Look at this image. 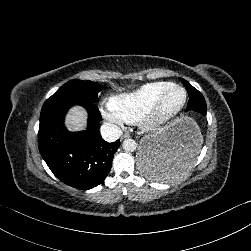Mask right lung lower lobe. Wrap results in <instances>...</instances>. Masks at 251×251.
Returning a JSON list of instances; mask_svg holds the SVG:
<instances>
[{
    "label": "right lung lower lobe",
    "mask_w": 251,
    "mask_h": 251,
    "mask_svg": "<svg viewBox=\"0 0 251 251\" xmlns=\"http://www.w3.org/2000/svg\"><path fill=\"white\" fill-rule=\"evenodd\" d=\"M81 105L88 111V128L71 133L64 126L67 110ZM101 114L95 103L74 99L46 101L40 114L38 146L52 173L79 190L101 184L107 177L120 141H104L99 132Z\"/></svg>",
    "instance_id": "98d812e1"
}]
</instances>
